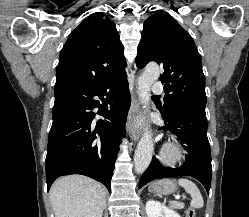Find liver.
<instances>
[{
	"label": "liver",
	"mask_w": 249,
	"mask_h": 217,
	"mask_svg": "<svg viewBox=\"0 0 249 217\" xmlns=\"http://www.w3.org/2000/svg\"><path fill=\"white\" fill-rule=\"evenodd\" d=\"M55 217H102L105 190L96 181L80 175L59 178L50 189Z\"/></svg>",
	"instance_id": "6515ba94"
}]
</instances>
